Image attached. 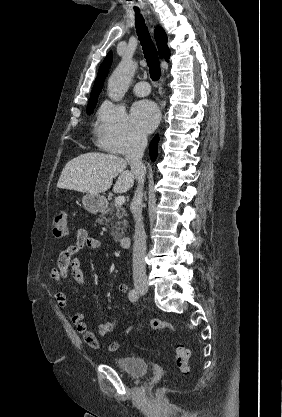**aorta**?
<instances>
[{
  "instance_id": "762f6f07",
  "label": "aorta",
  "mask_w": 282,
  "mask_h": 417,
  "mask_svg": "<svg viewBox=\"0 0 282 417\" xmlns=\"http://www.w3.org/2000/svg\"><path fill=\"white\" fill-rule=\"evenodd\" d=\"M138 68V62L132 58H122L108 78V96L114 102L122 100L128 90L129 82Z\"/></svg>"
}]
</instances>
